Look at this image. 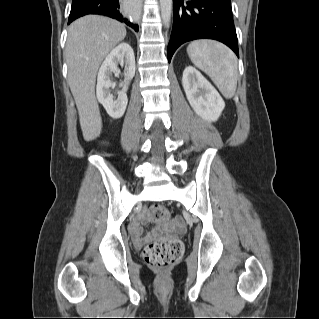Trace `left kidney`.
Returning <instances> with one entry per match:
<instances>
[{
    "mask_svg": "<svg viewBox=\"0 0 319 319\" xmlns=\"http://www.w3.org/2000/svg\"><path fill=\"white\" fill-rule=\"evenodd\" d=\"M182 85L195 113L204 120L217 121L225 103L209 81L197 69L187 66L183 71Z\"/></svg>",
    "mask_w": 319,
    "mask_h": 319,
    "instance_id": "left-kidney-1",
    "label": "left kidney"
}]
</instances>
